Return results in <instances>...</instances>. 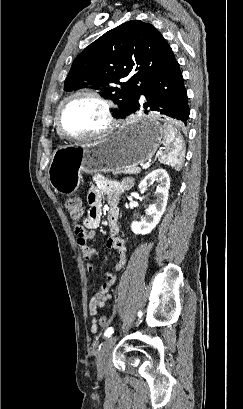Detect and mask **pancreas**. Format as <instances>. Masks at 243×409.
Listing matches in <instances>:
<instances>
[{
	"label": "pancreas",
	"instance_id": "cf45deb5",
	"mask_svg": "<svg viewBox=\"0 0 243 409\" xmlns=\"http://www.w3.org/2000/svg\"><path fill=\"white\" fill-rule=\"evenodd\" d=\"M140 168L137 167H132V168H127L124 170H120V171H116L115 173L119 174V173H124V174H134L137 175L140 173Z\"/></svg>",
	"mask_w": 243,
	"mask_h": 409
}]
</instances>
